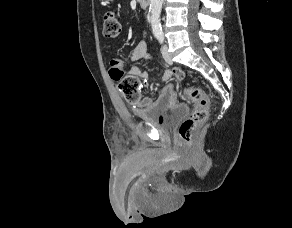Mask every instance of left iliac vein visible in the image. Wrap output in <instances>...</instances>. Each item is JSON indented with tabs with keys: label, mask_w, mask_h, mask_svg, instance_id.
Returning a JSON list of instances; mask_svg holds the SVG:
<instances>
[{
	"label": "left iliac vein",
	"mask_w": 292,
	"mask_h": 228,
	"mask_svg": "<svg viewBox=\"0 0 292 228\" xmlns=\"http://www.w3.org/2000/svg\"><path fill=\"white\" fill-rule=\"evenodd\" d=\"M162 55H163V58L164 60L169 63V64H172V59L168 53V47L167 45H163L162 47Z\"/></svg>",
	"instance_id": "left-iliac-vein-1"
}]
</instances>
